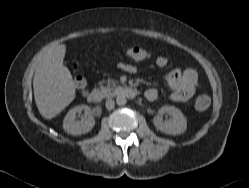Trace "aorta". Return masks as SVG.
Returning a JSON list of instances; mask_svg holds the SVG:
<instances>
[{"label":"aorta","mask_w":249,"mask_h":188,"mask_svg":"<svg viewBox=\"0 0 249 188\" xmlns=\"http://www.w3.org/2000/svg\"><path fill=\"white\" fill-rule=\"evenodd\" d=\"M127 102V99L124 95H118L117 98H116V103L119 105V106H123L125 105Z\"/></svg>","instance_id":"1"}]
</instances>
